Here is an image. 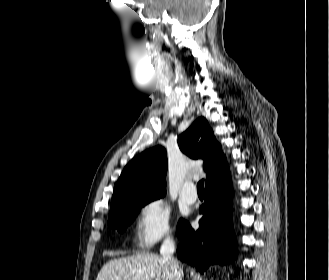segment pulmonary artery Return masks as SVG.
<instances>
[{
	"label": "pulmonary artery",
	"instance_id": "obj_1",
	"mask_svg": "<svg viewBox=\"0 0 329 280\" xmlns=\"http://www.w3.org/2000/svg\"><path fill=\"white\" fill-rule=\"evenodd\" d=\"M181 198L189 203L193 204L197 201V192L193 183L189 182L182 186L180 190Z\"/></svg>",
	"mask_w": 329,
	"mask_h": 280
}]
</instances>
